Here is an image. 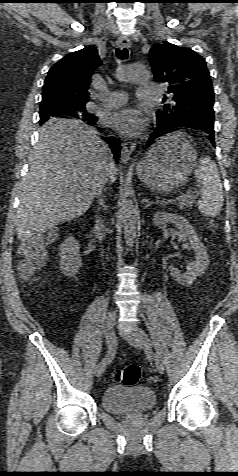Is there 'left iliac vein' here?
<instances>
[{
	"label": "left iliac vein",
	"mask_w": 238,
	"mask_h": 476,
	"mask_svg": "<svg viewBox=\"0 0 238 476\" xmlns=\"http://www.w3.org/2000/svg\"><path fill=\"white\" fill-rule=\"evenodd\" d=\"M120 335L123 337L124 340H126L132 347L134 348H143V342L141 338L139 337L138 333L135 331H120ZM153 358L155 361V365L157 368V371L160 374L164 373V363L162 359L158 356L153 354Z\"/></svg>",
	"instance_id": "1"
}]
</instances>
